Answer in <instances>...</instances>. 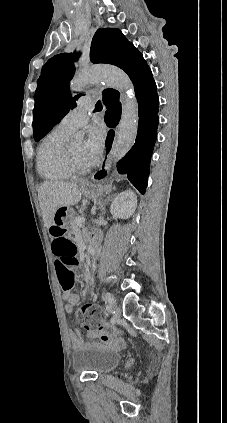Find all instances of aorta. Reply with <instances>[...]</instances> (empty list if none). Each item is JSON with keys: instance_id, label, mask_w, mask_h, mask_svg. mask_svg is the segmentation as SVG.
<instances>
[{"instance_id": "obj_1", "label": "aorta", "mask_w": 227, "mask_h": 423, "mask_svg": "<svg viewBox=\"0 0 227 423\" xmlns=\"http://www.w3.org/2000/svg\"><path fill=\"white\" fill-rule=\"evenodd\" d=\"M98 82H104L121 94L122 116L111 150L112 160L117 163L135 143L139 122L138 102L130 78L117 67L94 66L74 77L70 83V88L72 91L79 92L88 84ZM80 139L81 136H76V140Z\"/></svg>"}]
</instances>
